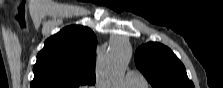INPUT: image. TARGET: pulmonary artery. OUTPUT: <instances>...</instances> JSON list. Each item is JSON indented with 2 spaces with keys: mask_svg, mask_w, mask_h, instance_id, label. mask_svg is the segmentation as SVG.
<instances>
[{
  "mask_svg": "<svg viewBox=\"0 0 223 88\" xmlns=\"http://www.w3.org/2000/svg\"><path fill=\"white\" fill-rule=\"evenodd\" d=\"M121 84L129 88L145 87L146 80L141 73L137 71H130L126 74Z\"/></svg>",
  "mask_w": 223,
  "mask_h": 88,
  "instance_id": "1",
  "label": "pulmonary artery"
}]
</instances>
